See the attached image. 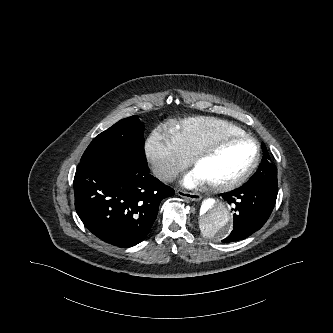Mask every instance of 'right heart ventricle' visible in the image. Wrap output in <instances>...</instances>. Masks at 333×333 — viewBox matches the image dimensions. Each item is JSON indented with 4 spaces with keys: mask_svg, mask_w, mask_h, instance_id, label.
I'll return each instance as SVG.
<instances>
[{
    "mask_svg": "<svg viewBox=\"0 0 333 333\" xmlns=\"http://www.w3.org/2000/svg\"><path fill=\"white\" fill-rule=\"evenodd\" d=\"M224 133L246 132L232 123L208 116L188 117L170 125V134L188 158L207 141Z\"/></svg>",
    "mask_w": 333,
    "mask_h": 333,
    "instance_id": "1",
    "label": "right heart ventricle"
}]
</instances>
